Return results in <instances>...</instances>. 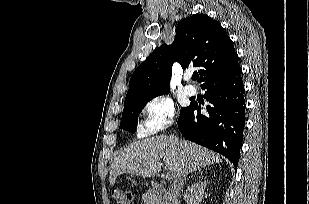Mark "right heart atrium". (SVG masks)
Here are the masks:
<instances>
[{
    "label": "right heart atrium",
    "instance_id": "1",
    "mask_svg": "<svg viewBox=\"0 0 309 204\" xmlns=\"http://www.w3.org/2000/svg\"><path fill=\"white\" fill-rule=\"evenodd\" d=\"M174 113V105L169 98L163 95L152 97L143 107L140 132L150 134L163 130L172 122Z\"/></svg>",
    "mask_w": 309,
    "mask_h": 204
}]
</instances>
